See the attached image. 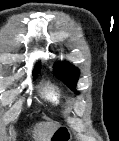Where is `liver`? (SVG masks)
<instances>
[{
  "label": "liver",
  "mask_w": 119,
  "mask_h": 141,
  "mask_svg": "<svg viewBox=\"0 0 119 141\" xmlns=\"http://www.w3.org/2000/svg\"><path fill=\"white\" fill-rule=\"evenodd\" d=\"M59 127V124L53 122H39L36 129L40 135V141H49L53 132Z\"/></svg>",
  "instance_id": "6515ba94"
}]
</instances>
